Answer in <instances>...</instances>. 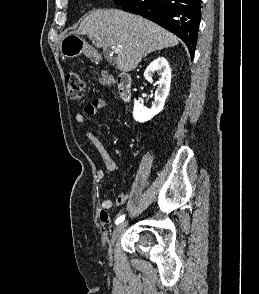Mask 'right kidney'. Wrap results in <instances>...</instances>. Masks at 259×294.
<instances>
[{"label":"right kidney","instance_id":"ca27d5eb","mask_svg":"<svg viewBox=\"0 0 259 294\" xmlns=\"http://www.w3.org/2000/svg\"><path fill=\"white\" fill-rule=\"evenodd\" d=\"M155 73L159 76V80L157 81L158 88L155 91V98L151 109L144 107V105L140 104L137 100L134 101L133 117L138 122L148 121L161 112L169 94L171 69L168 61L164 57H158L152 61L146 68L144 77L148 82L152 83Z\"/></svg>","mask_w":259,"mask_h":294}]
</instances>
